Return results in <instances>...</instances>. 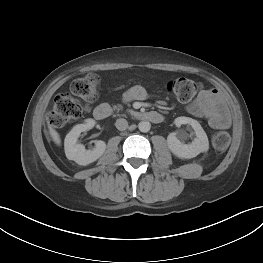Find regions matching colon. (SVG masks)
<instances>
[{
	"instance_id": "1",
	"label": "colon",
	"mask_w": 263,
	"mask_h": 263,
	"mask_svg": "<svg viewBox=\"0 0 263 263\" xmlns=\"http://www.w3.org/2000/svg\"><path fill=\"white\" fill-rule=\"evenodd\" d=\"M99 78L95 74L76 79L70 86L69 93H62L54 98L49 114V122L54 127H63L80 118L84 107L79 101L92 103L97 98ZM168 92L178 101H191L199 92L200 84L192 79L180 77L171 80L167 86ZM230 144V135L224 130L216 131L212 136V145L218 151L225 150Z\"/></svg>"
}]
</instances>
